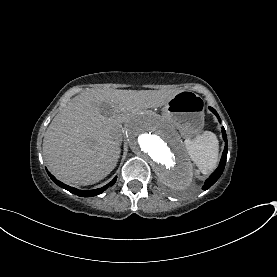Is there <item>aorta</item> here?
Wrapping results in <instances>:
<instances>
[{
  "label": "aorta",
  "instance_id": "obj_1",
  "mask_svg": "<svg viewBox=\"0 0 277 277\" xmlns=\"http://www.w3.org/2000/svg\"><path fill=\"white\" fill-rule=\"evenodd\" d=\"M130 148L154 169L159 181L171 190H184L193 180V167L175 130L160 116L135 117L127 132Z\"/></svg>",
  "mask_w": 277,
  "mask_h": 277
}]
</instances>
